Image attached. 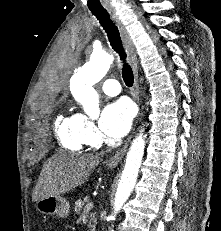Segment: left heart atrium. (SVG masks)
<instances>
[{
  "mask_svg": "<svg viewBox=\"0 0 221 231\" xmlns=\"http://www.w3.org/2000/svg\"><path fill=\"white\" fill-rule=\"evenodd\" d=\"M133 107L126 100H117L109 103L102 111L99 127L111 138H122L131 128Z\"/></svg>",
  "mask_w": 221,
  "mask_h": 231,
  "instance_id": "39dd6f15",
  "label": "left heart atrium"
}]
</instances>
